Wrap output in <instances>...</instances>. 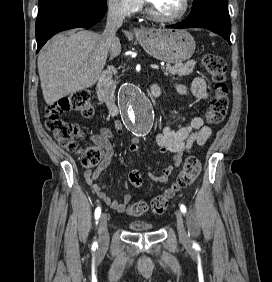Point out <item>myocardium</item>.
<instances>
[{
	"label": "myocardium",
	"instance_id": "f54148a6",
	"mask_svg": "<svg viewBox=\"0 0 272 282\" xmlns=\"http://www.w3.org/2000/svg\"><path fill=\"white\" fill-rule=\"evenodd\" d=\"M189 8H190V0H183V9H182L181 12H179L178 14L173 15V16H166V15H163V14L155 11L151 7L149 2L146 1V11H147L148 15H150L154 19L164 21V22H175V21L183 19L187 15Z\"/></svg>",
	"mask_w": 272,
	"mask_h": 282
}]
</instances>
